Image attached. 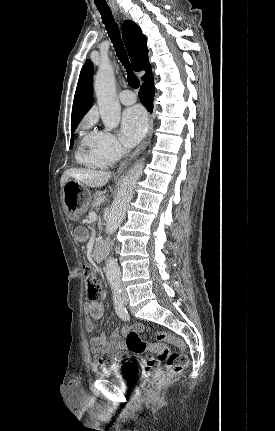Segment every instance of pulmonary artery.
<instances>
[{"instance_id": "e3ab8cb5", "label": "pulmonary artery", "mask_w": 275, "mask_h": 431, "mask_svg": "<svg viewBox=\"0 0 275 431\" xmlns=\"http://www.w3.org/2000/svg\"><path fill=\"white\" fill-rule=\"evenodd\" d=\"M119 100L124 105H131L136 102V96L130 90H124L120 92Z\"/></svg>"}]
</instances>
